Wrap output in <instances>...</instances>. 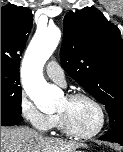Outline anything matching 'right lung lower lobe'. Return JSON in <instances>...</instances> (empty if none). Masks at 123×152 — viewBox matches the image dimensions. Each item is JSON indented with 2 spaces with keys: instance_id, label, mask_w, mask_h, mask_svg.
<instances>
[{
  "instance_id": "98d812e1",
  "label": "right lung lower lobe",
  "mask_w": 123,
  "mask_h": 152,
  "mask_svg": "<svg viewBox=\"0 0 123 152\" xmlns=\"http://www.w3.org/2000/svg\"><path fill=\"white\" fill-rule=\"evenodd\" d=\"M22 120V117L18 114L1 112V126L17 124L20 123Z\"/></svg>"
}]
</instances>
